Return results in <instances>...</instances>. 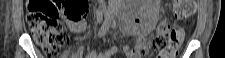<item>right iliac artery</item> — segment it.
<instances>
[{
	"instance_id": "1",
	"label": "right iliac artery",
	"mask_w": 225,
	"mask_h": 58,
	"mask_svg": "<svg viewBox=\"0 0 225 58\" xmlns=\"http://www.w3.org/2000/svg\"><path fill=\"white\" fill-rule=\"evenodd\" d=\"M112 22H113V16L111 14H108V16L105 18V20L98 32V37H102L106 34V32L109 30Z\"/></svg>"
}]
</instances>
